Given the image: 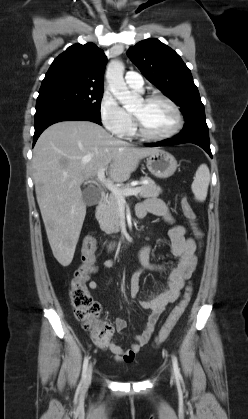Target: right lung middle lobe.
I'll return each instance as SVG.
<instances>
[{
    "label": "right lung middle lobe",
    "mask_w": 248,
    "mask_h": 419,
    "mask_svg": "<svg viewBox=\"0 0 248 419\" xmlns=\"http://www.w3.org/2000/svg\"><path fill=\"white\" fill-rule=\"evenodd\" d=\"M103 89L56 86L39 91L36 112L52 108H77L100 118Z\"/></svg>",
    "instance_id": "obj_1"
}]
</instances>
